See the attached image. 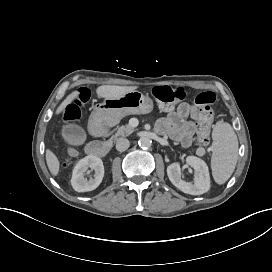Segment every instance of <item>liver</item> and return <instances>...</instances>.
Here are the masks:
<instances>
[{
    "instance_id": "liver-1",
    "label": "liver",
    "mask_w": 272,
    "mask_h": 272,
    "mask_svg": "<svg viewBox=\"0 0 272 272\" xmlns=\"http://www.w3.org/2000/svg\"><path fill=\"white\" fill-rule=\"evenodd\" d=\"M135 87H120V86H101L97 89V93L99 97H118L122 94H124L127 91L134 90ZM72 99V96H69L66 101H64L59 108L62 109L63 106H65L70 100ZM46 160L48 167L53 175H56L58 172L59 164L55 156L51 152H47Z\"/></svg>"
}]
</instances>
